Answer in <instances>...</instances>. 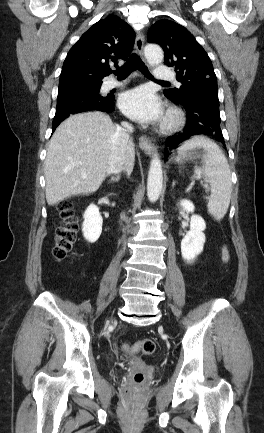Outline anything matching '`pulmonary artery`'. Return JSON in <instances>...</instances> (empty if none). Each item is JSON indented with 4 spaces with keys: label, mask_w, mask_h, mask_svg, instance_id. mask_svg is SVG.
Listing matches in <instances>:
<instances>
[{
    "label": "pulmonary artery",
    "mask_w": 264,
    "mask_h": 433,
    "mask_svg": "<svg viewBox=\"0 0 264 433\" xmlns=\"http://www.w3.org/2000/svg\"><path fill=\"white\" fill-rule=\"evenodd\" d=\"M174 73L167 67H156L154 73V79L156 80H172ZM121 85V82L115 80H109L105 83L106 89H112Z\"/></svg>",
    "instance_id": "pulmonary-artery-1"
}]
</instances>
